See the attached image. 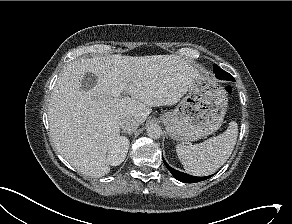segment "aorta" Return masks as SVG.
<instances>
[{
	"label": "aorta",
	"instance_id": "1",
	"mask_svg": "<svg viewBox=\"0 0 292 224\" xmlns=\"http://www.w3.org/2000/svg\"><path fill=\"white\" fill-rule=\"evenodd\" d=\"M146 132H147V135L150 137V138H153V139H158L161 137V134H162V130H161V127L157 124H150L148 125L147 129H146Z\"/></svg>",
	"mask_w": 292,
	"mask_h": 224
}]
</instances>
